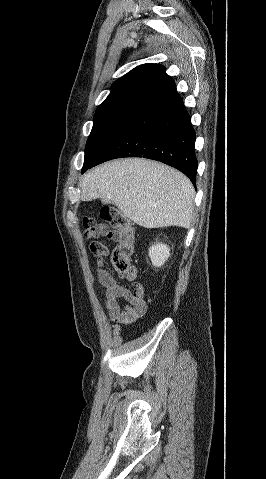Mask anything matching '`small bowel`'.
Wrapping results in <instances>:
<instances>
[{
	"label": "small bowel",
	"instance_id": "obj_1",
	"mask_svg": "<svg viewBox=\"0 0 266 479\" xmlns=\"http://www.w3.org/2000/svg\"><path fill=\"white\" fill-rule=\"evenodd\" d=\"M99 236H106L113 240L119 239L116 232L108 230ZM97 263V276L99 283L105 289L104 305L109 319L118 325H129L143 316L148 309L143 286L135 283V290L130 291L115 282L104 268L103 257H98ZM135 278L136 274L133 271L129 279L134 282ZM121 300H124L125 304H122Z\"/></svg>",
	"mask_w": 266,
	"mask_h": 479
}]
</instances>
